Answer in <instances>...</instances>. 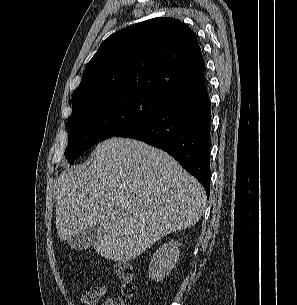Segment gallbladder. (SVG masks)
<instances>
[{
	"mask_svg": "<svg viewBox=\"0 0 297 305\" xmlns=\"http://www.w3.org/2000/svg\"><path fill=\"white\" fill-rule=\"evenodd\" d=\"M103 226L94 224L67 240L68 245L75 250H83L92 246L102 235Z\"/></svg>",
	"mask_w": 297,
	"mask_h": 305,
	"instance_id": "obj_1",
	"label": "gallbladder"
}]
</instances>
